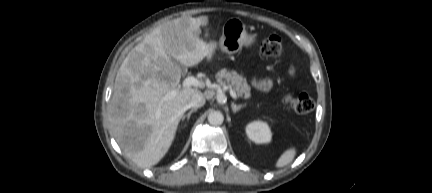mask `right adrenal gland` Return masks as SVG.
<instances>
[{"instance_id":"2a0ac1e0","label":"right adrenal gland","mask_w":432,"mask_h":193,"mask_svg":"<svg viewBox=\"0 0 432 193\" xmlns=\"http://www.w3.org/2000/svg\"><path fill=\"white\" fill-rule=\"evenodd\" d=\"M196 111H197V108H192V109H191L187 114H184V115L182 116V121H183L185 118H187V120H189L191 114H192L193 112H196Z\"/></svg>"}]
</instances>
